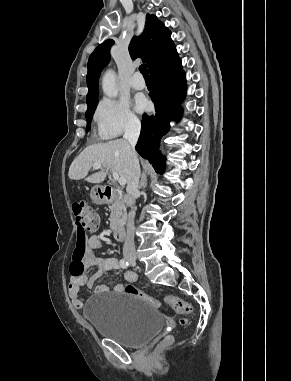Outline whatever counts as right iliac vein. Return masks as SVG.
I'll use <instances>...</instances> for the list:
<instances>
[{"label": "right iliac vein", "mask_w": 291, "mask_h": 381, "mask_svg": "<svg viewBox=\"0 0 291 381\" xmlns=\"http://www.w3.org/2000/svg\"><path fill=\"white\" fill-rule=\"evenodd\" d=\"M125 258H126L129 262H131V263L136 262V260H137V256H136V254H127V255L125 256Z\"/></svg>", "instance_id": "obj_1"}]
</instances>
